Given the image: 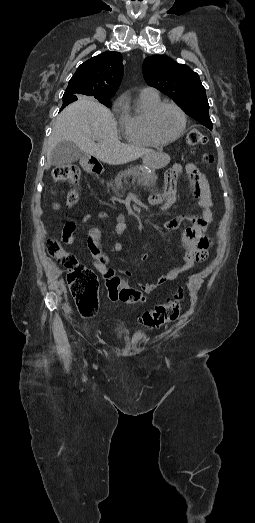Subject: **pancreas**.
I'll use <instances>...</instances> for the list:
<instances>
[{
	"instance_id": "obj_1",
	"label": "pancreas",
	"mask_w": 255,
	"mask_h": 523,
	"mask_svg": "<svg viewBox=\"0 0 255 523\" xmlns=\"http://www.w3.org/2000/svg\"><path fill=\"white\" fill-rule=\"evenodd\" d=\"M128 178H132V184H141V186H155L157 182V174H149L148 170H144L142 166H135V168H131V170H125V172H119L117 174L114 182H110L108 186H111L113 192H118L120 188H123V182L124 184H128L127 180ZM113 184H115V188H113Z\"/></svg>"
}]
</instances>
